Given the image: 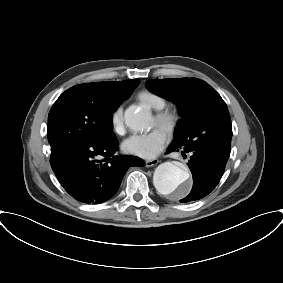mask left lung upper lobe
Wrapping results in <instances>:
<instances>
[{
  "label": "left lung upper lobe",
  "instance_id": "left-lung-upper-lobe-1",
  "mask_svg": "<svg viewBox=\"0 0 283 283\" xmlns=\"http://www.w3.org/2000/svg\"><path fill=\"white\" fill-rule=\"evenodd\" d=\"M147 88L173 101L179 110L173 142L188 141L213 154L230 155L232 127L221 96L205 81L195 78L150 79Z\"/></svg>",
  "mask_w": 283,
  "mask_h": 283
}]
</instances>
